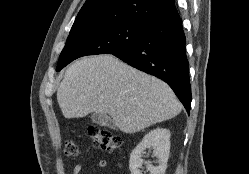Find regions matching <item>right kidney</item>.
<instances>
[{"label":"right kidney","mask_w":249,"mask_h":174,"mask_svg":"<svg viewBox=\"0 0 249 174\" xmlns=\"http://www.w3.org/2000/svg\"><path fill=\"white\" fill-rule=\"evenodd\" d=\"M147 148L152 149L153 156L158 159L157 166H153L151 162H145L147 171L150 174H164L170 152V131L157 128L145 135L130 155L129 169L131 174H142L140 170L143 165L142 154Z\"/></svg>","instance_id":"ca27d5eb"}]
</instances>
